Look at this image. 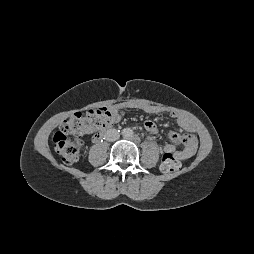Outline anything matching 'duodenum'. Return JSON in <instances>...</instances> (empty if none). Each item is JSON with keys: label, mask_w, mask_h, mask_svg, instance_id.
Masks as SVG:
<instances>
[{"label": "duodenum", "mask_w": 254, "mask_h": 254, "mask_svg": "<svg viewBox=\"0 0 254 254\" xmlns=\"http://www.w3.org/2000/svg\"><path fill=\"white\" fill-rule=\"evenodd\" d=\"M105 134H106V132L103 131V132H101V133L95 135L94 138H93V141H94V142L100 141V140L105 136Z\"/></svg>", "instance_id": "obj_1"}]
</instances>
